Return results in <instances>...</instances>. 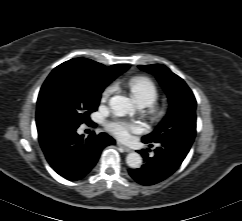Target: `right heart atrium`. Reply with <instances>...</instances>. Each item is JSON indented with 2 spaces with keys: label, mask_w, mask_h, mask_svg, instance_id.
Listing matches in <instances>:
<instances>
[{
  "label": "right heart atrium",
  "mask_w": 242,
  "mask_h": 221,
  "mask_svg": "<svg viewBox=\"0 0 242 221\" xmlns=\"http://www.w3.org/2000/svg\"><path fill=\"white\" fill-rule=\"evenodd\" d=\"M116 91V85L115 84H110L108 85L103 93H102V99L105 101V100H108V98Z\"/></svg>",
  "instance_id": "right-heart-atrium-1"
}]
</instances>
